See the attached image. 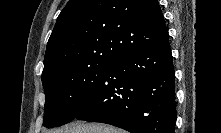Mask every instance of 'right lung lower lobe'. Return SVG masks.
Returning <instances> with one entry per match:
<instances>
[{
  "label": "right lung lower lobe",
  "mask_w": 221,
  "mask_h": 133,
  "mask_svg": "<svg viewBox=\"0 0 221 133\" xmlns=\"http://www.w3.org/2000/svg\"><path fill=\"white\" fill-rule=\"evenodd\" d=\"M74 118L111 124L131 133H174L175 74L168 39L112 62Z\"/></svg>",
  "instance_id": "right-lung-lower-lobe-1"
}]
</instances>
